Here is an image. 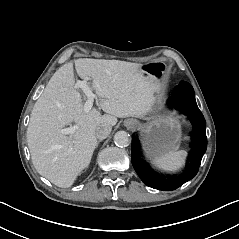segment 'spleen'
I'll return each mask as SVG.
<instances>
[{
  "label": "spleen",
  "instance_id": "spleen-1",
  "mask_svg": "<svg viewBox=\"0 0 239 239\" xmlns=\"http://www.w3.org/2000/svg\"><path fill=\"white\" fill-rule=\"evenodd\" d=\"M186 151H170L155 159V163L164 170L176 171L184 166Z\"/></svg>",
  "mask_w": 239,
  "mask_h": 239
}]
</instances>
